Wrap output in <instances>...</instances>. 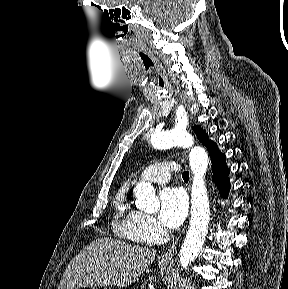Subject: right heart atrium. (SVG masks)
Here are the masks:
<instances>
[{
    "instance_id": "1",
    "label": "right heart atrium",
    "mask_w": 288,
    "mask_h": 289,
    "mask_svg": "<svg viewBox=\"0 0 288 289\" xmlns=\"http://www.w3.org/2000/svg\"><path fill=\"white\" fill-rule=\"evenodd\" d=\"M140 237L148 243L160 241L164 237V229L151 216L141 213L136 224Z\"/></svg>"
}]
</instances>
